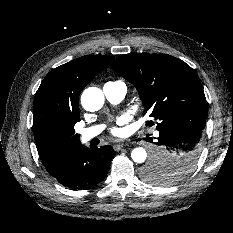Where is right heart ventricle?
I'll list each match as a JSON object with an SVG mask.
<instances>
[{
    "instance_id": "obj_1",
    "label": "right heart ventricle",
    "mask_w": 233,
    "mask_h": 233,
    "mask_svg": "<svg viewBox=\"0 0 233 233\" xmlns=\"http://www.w3.org/2000/svg\"><path fill=\"white\" fill-rule=\"evenodd\" d=\"M108 83H111V84H119V83H122L120 81H112V82H108Z\"/></svg>"
}]
</instances>
